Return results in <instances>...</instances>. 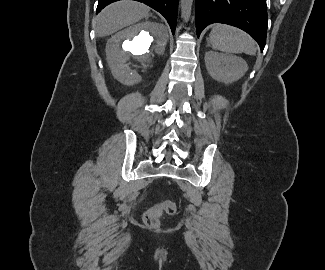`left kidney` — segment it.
I'll return each mask as SVG.
<instances>
[{"mask_svg": "<svg viewBox=\"0 0 325 270\" xmlns=\"http://www.w3.org/2000/svg\"><path fill=\"white\" fill-rule=\"evenodd\" d=\"M205 65L214 80L225 84L239 80L248 70L247 63L241 57L215 51L205 54Z\"/></svg>", "mask_w": 325, "mask_h": 270, "instance_id": "1", "label": "left kidney"}]
</instances>
